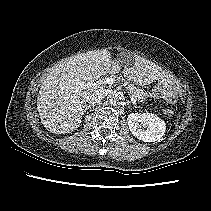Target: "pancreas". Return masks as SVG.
Listing matches in <instances>:
<instances>
[{
    "instance_id": "obj_1",
    "label": "pancreas",
    "mask_w": 211,
    "mask_h": 211,
    "mask_svg": "<svg viewBox=\"0 0 211 211\" xmlns=\"http://www.w3.org/2000/svg\"><path fill=\"white\" fill-rule=\"evenodd\" d=\"M128 89L130 91V94H132V96H134L136 101L138 102L145 103L147 98L149 97L147 92H144L143 90L138 89L132 85H129Z\"/></svg>"
}]
</instances>
